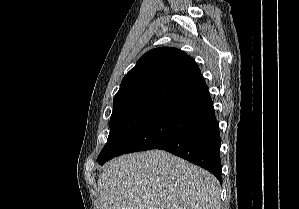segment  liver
Returning <instances> with one entry per match:
<instances>
[{
	"mask_svg": "<svg viewBox=\"0 0 299 209\" xmlns=\"http://www.w3.org/2000/svg\"><path fill=\"white\" fill-rule=\"evenodd\" d=\"M99 209H220L208 171L163 150L120 156L98 179Z\"/></svg>",
	"mask_w": 299,
	"mask_h": 209,
	"instance_id": "6515ba94",
	"label": "liver"
}]
</instances>
